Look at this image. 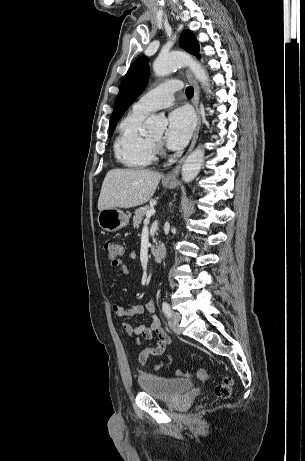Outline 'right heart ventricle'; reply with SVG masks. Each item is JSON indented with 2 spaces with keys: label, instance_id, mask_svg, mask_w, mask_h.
Listing matches in <instances>:
<instances>
[{
  "label": "right heart ventricle",
  "instance_id": "right-heart-ventricle-1",
  "mask_svg": "<svg viewBox=\"0 0 305 461\" xmlns=\"http://www.w3.org/2000/svg\"><path fill=\"white\" fill-rule=\"evenodd\" d=\"M146 115L132 110L119 124L114 152L118 161L125 167L141 169L155 160V151L143 127Z\"/></svg>",
  "mask_w": 305,
  "mask_h": 461
}]
</instances>
